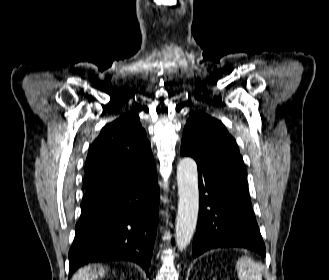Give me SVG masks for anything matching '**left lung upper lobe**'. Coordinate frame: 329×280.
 <instances>
[{"mask_svg": "<svg viewBox=\"0 0 329 280\" xmlns=\"http://www.w3.org/2000/svg\"><path fill=\"white\" fill-rule=\"evenodd\" d=\"M181 153L196 160L199 187L220 192L247 184V171L236 141L221 121L203 112H193L187 120Z\"/></svg>", "mask_w": 329, "mask_h": 280, "instance_id": "left-lung-upper-lobe-1", "label": "left lung upper lobe"}]
</instances>
